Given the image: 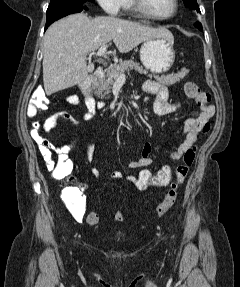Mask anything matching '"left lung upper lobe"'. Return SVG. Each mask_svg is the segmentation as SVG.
Instances as JSON below:
<instances>
[{"instance_id": "1", "label": "left lung upper lobe", "mask_w": 240, "mask_h": 287, "mask_svg": "<svg viewBox=\"0 0 240 287\" xmlns=\"http://www.w3.org/2000/svg\"><path fill=\"white\" fill-rule=\"evenodd\" d=\"M186 7H190L192 9H197L199 11V7L197 4V0H183Z\"/></svg>"}]
</instances>
